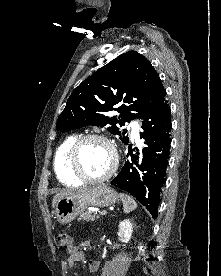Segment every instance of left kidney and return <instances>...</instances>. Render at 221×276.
<instances>
[{
    "label": "left kidney",
    "mask_w": 221,
    "mask_h": 276,
    "mask_svg": "<svg viewBox=\"0 0 221 276\" xmlns=\"http://www.w3.org/2000/svg\"><path fill=\"white\" fill-rule=\"evenodd\" d=\"M133 232V224L130 219H125L119 223L118 226V238L123 243H128L131 239Z\"/></svg>",
    "instance_id": "1"
}]
</instances>
